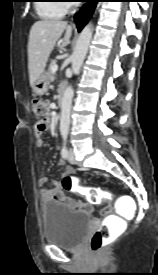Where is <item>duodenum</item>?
<instances>
[{
    "label": "duodenum",
    "instance_id": "duodenum-1",
    "mask_svg": "<svg viewBox=\"0 0 158 275\" xmlns=\"http://www.w3.org/2000/svg\"><path fill=\"white\" fill-rule=\"evenodd\" d=\"M64 96H65V88L62 87L59 91V98H58V104L59 106H62L64 102Z\"/></svg>",
    "mask_w": 158,
    "mask_h": 275
}]
</instances>
